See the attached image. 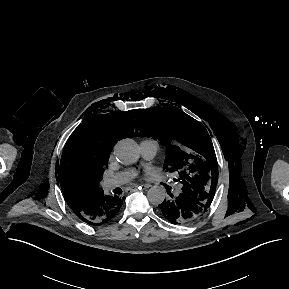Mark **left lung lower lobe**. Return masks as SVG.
Segmentation results:
<instances>
[{"label":"left lung lower lobe","mask_w":289,"mask_h":289,"mask_svg":"<svg viewBox=\"0 0 289 289\" xmlns=\"http://www.w3.org/2000/svg\"><path fill=\"white\" fill-rule=\"evenodd\" d=\"M215 188H205L202 184L183 186L182 192L159 205L162 215L176 224H190L201 217L210 207ZM214 192V193H213Z\"/></svg>","instance_id":"left-lung-lower-lobe-1"}]
</instances>
